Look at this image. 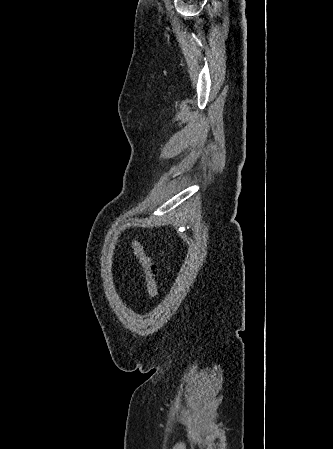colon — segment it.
Returning a JSON list of instances; mask_svg holds the SVG:
<instances>
[{
	"instance_id": "5ec220e1",
	"label": "colon",
	"mask_w": 333,
	"mask_h": 449,
	"mask_svg": "<svg viewBox=\"0 0 333 449\" xmlns=\"http://www.w3.org/2000/svg\"><path fill=\"white\" fill-rule=\"evenodd\" d=\"M131 249L143 268L145 274L146 289L149 297L151 299L156 298L158 295L157 264L154 262L152 256L138 241H132Z\"/></svg>"
}]
</instances>
